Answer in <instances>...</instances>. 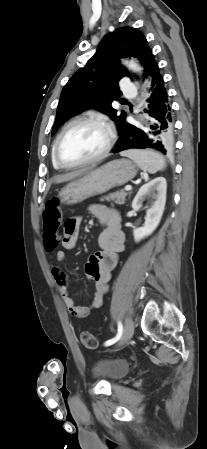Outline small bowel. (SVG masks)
Returning a JSON list of instances; mask_svg holds the SVG:
<instances>
[{"mask_svg": "<svg viewBox=\"0 0 207 449\" xmlns=\"http://www.w3.org/2000/svg\"><path fill=\"white\" fill-rule=\"evenodd\" d=\"M91 213L103 225L98 236V245L101 251L94 253L88 259L85 272L88 280L93 282V297L88 306H77L70 296L67 275L59 268L53 269V276L59 288L68 312L76 318L87 317L93 310L101 307L103 297L108 290L111 272L117 264V254L124 250V234L121 230V217L110 207L103 204H94ZM81 217H69L63 226V249L56 252V260L62 262L66 258L65 250L75 248L80 231Z\"/></svg>", "mask_w": 207, "mask_h": 449, "instance_id": "1", "label": "small bowel"}]
</instances>
